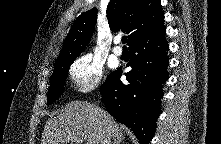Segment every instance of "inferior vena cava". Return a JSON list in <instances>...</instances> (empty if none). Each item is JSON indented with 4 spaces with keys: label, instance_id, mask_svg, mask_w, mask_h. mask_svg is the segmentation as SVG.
I'll return each instance as SVG.
<instances>
[{
    "label": "inferior vena cava",
    "instance_id": "obj_1",
    "mask_svg": "<svg viewBox=\"0 0 221 144\" xmlns=\"http://www.w3.org/2000/svg\"><path fill=\"white\" fill-rule=\"evenodd\" d=\"M102 144H110V138L107 134L104 135V142H102Z\"/></svg>",
    "mask_w": 221,
    "mask_h": 144
}]
</instances>
